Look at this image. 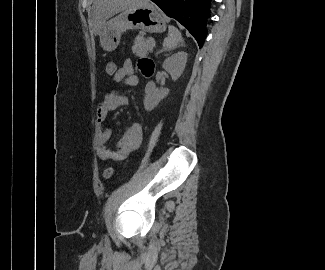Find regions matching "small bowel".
I'll return each instance as SVG.
<instances>
[{"instance_id":"obj_1","label":"small bowel","mask_w":325,"mask_h":270,"mask_svg":"<svg viewBox=\"0 0 325 270\" xmlns=\"http://www.w3.org/2000/svg\"><path fill=\"white\" fill-rule=\"evenodd\" d=\"M138 68L143 75L150 76L154 71V63L151 59L144 57L139 59ZM116 73L117 78L114 79V82L117 84L134 86L138 83V78L134 74V67L130 60L125 61ZM127 103L128 98L125 95L112 90L105 94L97 107L95 119L96 152L98 158L101 160H123L140 146L143 128L139 123H134L126 129L116 149H109L106 146L112 135V129L110 127L102 128L107 114L125 106Z\"/></svg>"}]
</instances>
